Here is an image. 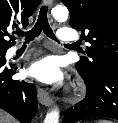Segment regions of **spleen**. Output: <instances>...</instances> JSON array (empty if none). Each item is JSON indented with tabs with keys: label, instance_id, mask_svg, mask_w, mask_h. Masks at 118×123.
Segmentation results:
<instances>
[{
	"label": "spleen",
	"instance_id": "3e777b00",
	"mask_svg": "<svg viewBox=\"0 0 118 123\" xmlns=\"http://www.w3.org/2000/svg\"><path fill=\"white\" fill-rule=\"evenodd\" d=\"M97 123H111V122L107 121V120H99V121H97Z\"/></svg>",
	"mask_w": 118,
	"mask_h": 123
}]
</instances>
